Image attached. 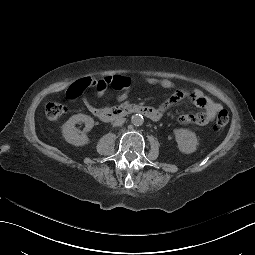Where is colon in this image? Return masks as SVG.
<instances>
[{
  "label": "colon",
  "mask_w": 255,
  "mask_h": 255,
  "mask_svg": "<svg viewBox=\"0 0 255 255\" xmlns=\"http://www.w3.org/2000/svg\"><path fill=\"white\" fill-rule=\"evenodd\" d=\"M127 79L121 76H114V77H106L101 81H95L91 78L82 79L71 86L72 90L76 93H81L83 90L92 88V89H99V88H107L113 87L115 89H121L127 85ZM65 106L58 102H50L46 106V116L50 120H56L61 117L65 113ZM229 122V115L227 111L221 110L219 111L215 124V130L223 129Z\"/></svg>",
  "instance_id": "1"
}]
</instances>
